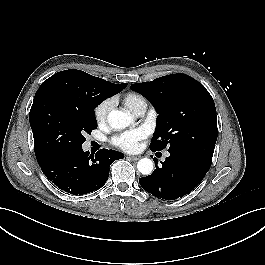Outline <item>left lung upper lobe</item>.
<instances>
[{
	"instance_id": "1",
	"label": "left lung upper lobe",
	"mask_w": 265,
	"mask_h": 265,
	"mask_svg": "<svg viewBox=\"0 0 265 265\" xmlns=\"http://www.w3.org/2000/svg\"><path fill=\"white\" fill-rule=\"evenodd\" d=\"M131 89L148 99L159 114L150 149L190 155L212 163L218 136L214 101L206 88L185 74H173Z\"/></svg>"
}]
</instances>
